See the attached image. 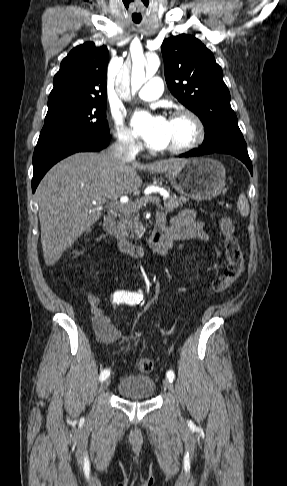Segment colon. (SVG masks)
I'll list each match as a JSON object with an SVG mask.
<instances>
[{
    "label": "colon",
    "mask_w": 287,
    "mask_h": 486,
    "mask_svg": "<svg viewBox=\"0 0 287 486\" xmlns=\"http://www.w3.org/2000/svg\"><path fill=\"white\" fill-rule=\"evenodd\" d=\"M220 229L223 236L226 266L223 273L213 281V289L216 292L228 289L241 277L244 270V255L230 220L223 218L220 222ZM136 368L141 373H149L154 368V361L149 357L139 358L136 361Z\"/></svg>",
    "instance_id": "obj_1"
}]
</instances>
